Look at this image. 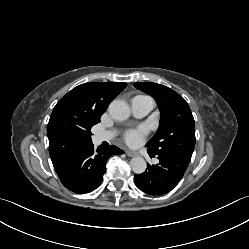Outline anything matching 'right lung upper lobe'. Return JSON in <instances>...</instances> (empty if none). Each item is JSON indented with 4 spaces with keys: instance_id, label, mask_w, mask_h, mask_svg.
Instances as JSON below:
<instances>
[{
    "instance_id": "right-lung-upper-lobe-1",
    "label": "right lung upper lobe",
    "mask_w": 249,
    "mask_h": 249,
    "mask_svg": "<svg viewBox=\"0 0 249 249\" xmlns=\"http://www.w3.org/2000/svg\"><path fill=\"white\" fill-rule=\"evenodd\" d=\"M127 86L123 82H89L68 92L53 109L47 134L56 171L92 143L91 128L109 103Z\"/></svg>"
}]
</instances>
